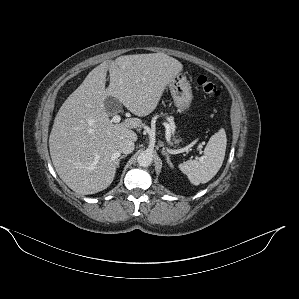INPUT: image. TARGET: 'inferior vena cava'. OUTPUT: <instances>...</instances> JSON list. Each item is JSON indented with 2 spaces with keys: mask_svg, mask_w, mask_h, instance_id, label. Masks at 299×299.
Instances as JSON below:
<instances>
[{
  "mask_svg": "<svg viewBox=\"0 0 299 299\" xmlns=\"http://www.w3.org/2000/svg\"><path fill=\"white\" fill-rule=\"evenodd\" d=\"M134 147H135V144L131 139L124 138L118 143V152L124 153V154H129V153L133 152Z\"/></svg>",
  "mask_w": 299,
  "mask_h": 299,
  "instance_id": "602c4592",
  "label": "inferior vena cava"
}]
</instances>
